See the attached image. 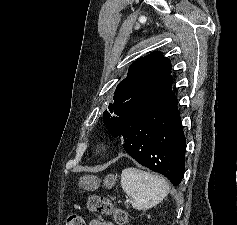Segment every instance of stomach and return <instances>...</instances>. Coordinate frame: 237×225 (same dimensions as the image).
<instances>
[{
    "label": "stomach",
    "mask_w": 237,
    "mask_h": 225,
    "mask_svg": "<svg viewBox=\"0 0 237 225\" xmlns=\"http://www.w3.org/2000/svg\"><path fill=\"white\" fill-rule=\"evenodd\" d=\"M117 177L113 174H109L105 177L103 185L106 188L111 189L116 183ZM101 180L93 175H86L80 178L79 186L88 191L96 190L100 185Z\"/></svg>",
    "instance_id": "0dacf381"
}]
</instances>
